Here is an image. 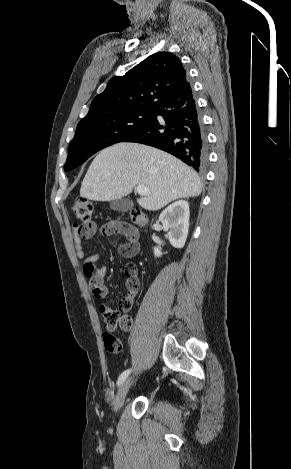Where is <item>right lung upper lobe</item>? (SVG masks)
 <instances>
[{
  "instance_id": "1",
  "label": "right lung upper lobe",
  "mask_w": 291,
  "mask_h": 469,
  "mask_svg": "<svg viewBox=\"0 0 291 469\" xmlns=\"http://www.w3.org/2000/svg\"><path fill=\"white\" fill-rule=\"evenodd\" d=\"M187 86L186 71L180 59L169 52H158L124 76L113 77L104 92L93 99L82 120L105 118L135 109L153 110L171 92Z\"/></svg>"
}]
</instances>
